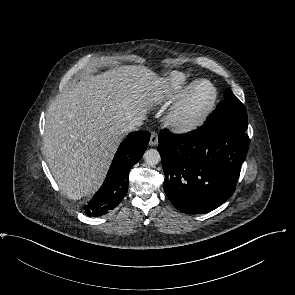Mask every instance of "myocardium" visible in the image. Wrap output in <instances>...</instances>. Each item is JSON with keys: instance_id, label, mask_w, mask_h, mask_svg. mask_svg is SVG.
<instances>
[{"instance_id": "myocardium-1", "label": "myocardium", "mask_w": 295, "mask_h": 295, "mask_svg": "<svg viewBox=\"0 0 295 295\" xmlns=\"http://www.w3.org/2000/svg\"><path fill=\"white\" fill-rule=\"evenodd\" d=\"M208 84L212 89V96L202 112L195 116H187L186 109L195 91L202 84ZM218 100L217 87L208 79H199L190 84L177 98L169 109L166 120L169 127L176 133L187 134L202 127L212 115Z\"/></svg>"}]
</instances>
